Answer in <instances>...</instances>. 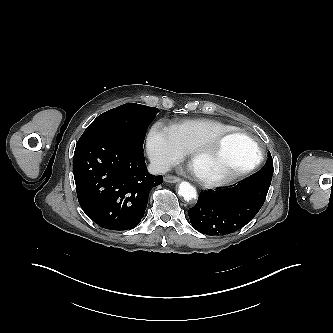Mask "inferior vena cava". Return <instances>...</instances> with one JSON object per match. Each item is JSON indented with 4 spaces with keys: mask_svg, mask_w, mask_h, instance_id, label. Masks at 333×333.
I'll return each instance as SVG.
<instances>
[{
    "mask_svg": "<svg viewBox=\"0 0 333 333\" xmlns=\"http://www.w3.org/2000/svg\"><path fill=\"white\" fill-rule=\"evenodd\" d=\"M170 164L162 159L154 158L150 160L148 170L152 174H164L170 170Z\"/></svg>",
    "mask_w": 333,
    "mask_h": 333,
    "instance_id": "obj_1",
    "label": "inferior vena cava"
}]
</instances>
